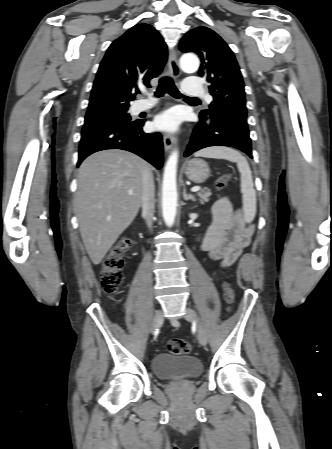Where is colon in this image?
<instances>
[{
    "label": "colon",
    "mask_w": 332,
    "mask_h": 449,
    "mask_svg": "<svg viewBox=\"0 0 332 449\" xmlns=\"http://www.w3.org/2000/svg\"><path fill=\"white\" fill-rule=\"evenodd\" d=\"M231 178V175L219 177L215 182L216 188L219 190L225 189ZM130 247L131 240L127 237L121 238L103 260L100 282L104 291L108 294L113 295L118 293L122 285L123 275L121 270L123 267V255L129 251ZM223 290L225 302L229 307H232L235 301L234 290L228 282H224ZM168 349L174 355H183L189 352L190 346L185 340L175 338L168 342Z\"/></svg>",
    "instance_id": "obj_1"
}]
</instances>
